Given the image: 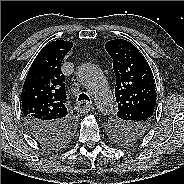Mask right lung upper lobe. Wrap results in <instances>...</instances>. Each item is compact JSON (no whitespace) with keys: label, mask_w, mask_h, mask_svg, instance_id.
I'll return each mask as SVG.
<instances>
[{"label":"right lung upper lobe","mask_w":184,"mask_h":184,"mask_svg":"<svg viewBox=\"0 0 184 184\" xmlns=\"http://www.w3.org/2000/svg\"><path fill=\"white\" fill-rule=\"evenodd\" d=\"M68 41H52L37 55L22 89L23 116L60 122L67 116L65 76L61 63L72 48Z\"/></svg>","instance_id":"obj_1"}]
</instances>
